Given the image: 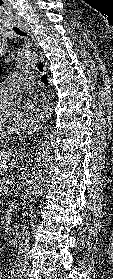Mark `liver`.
Returning <instances> with one entry per match:
<instances>
[{
	"label": "liver",
	"instance_id": "liver-1",
	"mask_svg": "<svg viewBox=\"0 0 113 279\" xmlns=\"http://www.w3.org/2000/svg\"><path fill=\"white\" fill-rule=\"evenodd\" d=\"M18 154L11 151H0V172L12 169L18 162Z\"/></svg>",
	"mask_w": 113,
	"mask_h": 279
}]
</instances>
